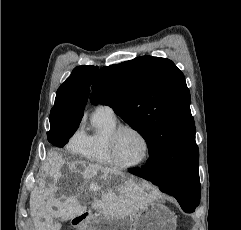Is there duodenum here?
I'll return each mask as SVG.
<instances>
[{
	"label": "duodenum",
	"instance_id": "410a0bca",
	"mask_svg": "<svg viewBox=\"0 0 241 230\" xmlns=\"http://www.w3.org/2000/svg\"><path fill=\"white\" fill-rule=\"evenodd\" d=\"M89 218H90V216L87 213H81L79 215H76L72 219V225L74 227H80L83 224H85Z\"/></svg>",
	"mask_w": 241,
	"mask_h": 230
}]
</instances>
